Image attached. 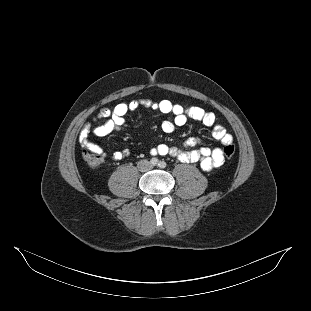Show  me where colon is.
I'll list each match as a JSON object with an SVG mask.
<instances>
[{
    "instance_id": "1",
    "label": "colon",
    "mask_w": 311,
    "mask_h": 311,
    "mask_svg": "<svg viewBox=\"0 0 311 311\" xmlns=\"http://www.w3.org/2000/svg\"><path fill=\"white\" fill-rule=\"evenodd\" d=\"M223 153L227 159H231L235 154L234 144H232V143L226 144L223 148ZM83 158H84L86 164L91 169H98L104 163V159L99 153L92 151V150H89V149L84 150Z\"/></svg>"
}]
</instances>
